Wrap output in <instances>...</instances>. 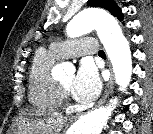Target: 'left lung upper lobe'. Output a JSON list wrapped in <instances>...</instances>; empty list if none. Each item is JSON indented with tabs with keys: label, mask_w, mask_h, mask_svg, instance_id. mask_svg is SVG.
Returning a JSON list of instances; mask_svg holds the SVG:
<instances>
[{
	"label": "left lung upper lobe",
	"mask_w": 153,
	"mask_h": 134,
	"mask_svg": "<svg viewBox=\"0 0 153 134\" xmlns=\"http://www.w3.org/2000/svg\"><path fill=\"white\" fill-rule=\"evenodd\" d=\"M88 5L92 7L104 8L111 12V14L116 16L119 20H123L122 11L113 0H89Z\"/></svg>",
	"instance_id": "obj_1"
}]
</instances>
